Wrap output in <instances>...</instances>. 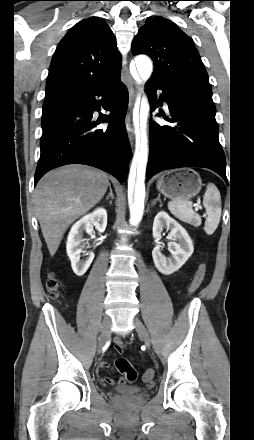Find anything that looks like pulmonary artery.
Wrapping results in <instances>:
<instances>
[{
	"label": "pulmonary artery",
	"mask_w": 254,
	"mask_h": 440,
	"mask_svg": "<svg viewBox=\"0 0 254 440\" xmlns=\"http://www.w3.org/2000/svg\"><path fill=\"white\" fill-rule=\"evenodd\" d=\"M164 107L167 108V104H166V102H164Z\"/></svg>",
	"instance_id": "pulmonary-artery-1"
}]
</instances>
